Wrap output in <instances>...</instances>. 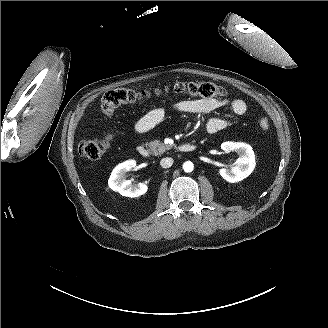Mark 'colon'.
<instances>
[{
	"label": "colon",
	"mask_w": 328,
	"mask_h": 328,
	"mask_svg": "<svg viewBox=\"0 0 328 328\" xmlns=\"http://www.w3.org/2000/svg\"><path fill=\"white\" fill-rule=\"evenodd\" d=\"M170 93L189 94L216 100H221L226 96V90L223 87L211 82H179L172 86L144 90L116 88L104 94L101 100V110L106 115H112L122 105L134 104ZM258 123L263 130H267L270 126L266 118H260ZM110 141L111 136L100 140H84L79 144L78 150L80 155L85 158L99 159L108 150Z\"/></svg>",
	"instance_id": "1"
}]
</instances>
